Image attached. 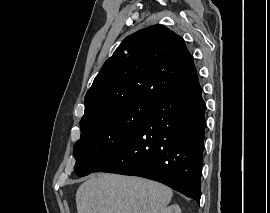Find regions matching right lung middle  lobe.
I'll use <instances>...</instances> for the list:
<instances>
[{
  "mask_svg": "<svg viewBox=\"0 0 270 213\" xmlns=\"http://www.w3.org/2000/svg\"><path fill=\"white\" fill-rule=\"evenodd\" d=\"M155 105L133 101L80 122L81 138L73 151L76 174L86 176L111 158L136 133Z\"/></svg>",
  "mask_w": 270,
  "mask_h": 213,
  "instance_id": "1",
  "label": "right lung middle lobe"
}]
</instances>
